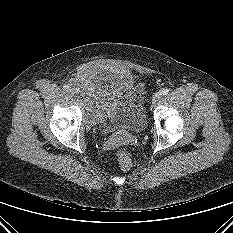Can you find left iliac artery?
I'll return each instance as SVG.
<instances>
[{"label":"left iliac artery","mask_w":233,"mask_h":233,"mask_svg":"<svg viewBox=\"0 0 233 233\" xmlns=\"http://www.w3.org/2000/svg\"><path fill=\"white\" fill-rule=\"evenodd\" d=\"M168 92H169L168 89H165V88L162 89V91H161L162 95H167Z\"/></svg>","instance_id":"44dca946"}]
</instances>
